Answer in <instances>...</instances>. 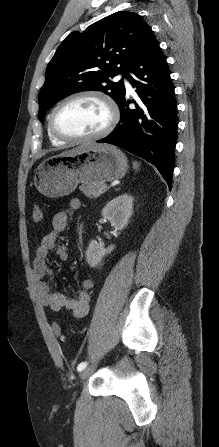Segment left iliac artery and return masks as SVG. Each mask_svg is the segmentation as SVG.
<instances>
[{
	"label": "left iliac artery",
	"mask_w": 219,
	"mask_h": 447,
	"mask_svg": "<svg viewBox=\"0 0 219 447\" xmlns=\"http://www.w3.org/2000/svg\"><path fill=\"white\" fill-rule=\"evenodd\" d=\"M87 366V362H82L78 365L77 371H82Z\"/></svg>",
	"instance_id": "left-iliac-artery-1"
}]
</instances>
